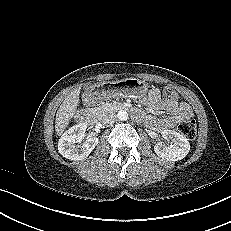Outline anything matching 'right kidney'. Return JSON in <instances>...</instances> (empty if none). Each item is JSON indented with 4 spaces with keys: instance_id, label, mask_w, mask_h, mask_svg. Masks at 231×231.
I'll return each mask as SVG.
<instances>
[{
    "instance_id": "ca27d5eb",
    "label": "right kidney",
    "mask_w": 231,
    "mask_h": 231,
    "mask_svg": "<svg viewBox=\"0 0 231 231\" xmlns=\"http://www.w3.org/2000/svg\"><path fill=\"white\" fill-rule=\"evenodd\" d=\"M87 122H79L69 128L58 142L59 153L69 160H82L86 158L98 144V138L92 135L86 137L82 145V139L85 136Z\"/></svg>"
}]
</instances>
